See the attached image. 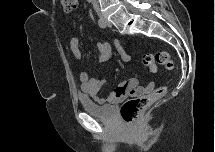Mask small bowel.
<instances>
[{
	"label": "small bowel",
	"mask_w": 215,
	"mask_h": 152,
	"mask_svg": "<svg viewBox=\"0 0 215 152\" xmlns=\"http://www.w3.org/2000/svg\"><path fill=\"white\" fill-rule=\"evenodd\" d=\"M116 46L122 53L125 60L129 59V55L126 54L120 47L119 43L116 42ZM70 49L73 55L77 59L82 58L81 41L78 37H73L70 40ZM112 58V50L108 43L98 42L97 43V61L99 63H105L110 61ZM79 81L81 84V91L83 94L92 97L100 104L115 103L127 96H141L150 91L155 87V83L151 82L146 86H141L139 80L135 77H131L124 82H121L117 87L109 93L107 97H100L99 91L105 85V78L91 79L86 72L79 73Z\"/></svg>",
	"instance_id": "c3829d8e"
}]
</instances>
